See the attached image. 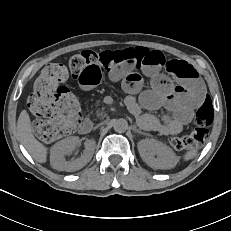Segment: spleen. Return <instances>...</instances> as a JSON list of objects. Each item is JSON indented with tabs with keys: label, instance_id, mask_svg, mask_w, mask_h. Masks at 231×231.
<instances>
[{
	"label": "spleen",
	"instance_id": "3e777b00",
	"mask_svg": "<svg viewBox=\"0 0 231 231\" xmlns=\"http://www.w3.org/2000/svg\"><path fill=\"white\" fill-rule=\"evenodd\" d=\"M198 150L197 148H191L189 151H187L184 156L183 159L185 161L191 160L193 158H195L197 156Z\"/></svg>",
	"mask_w": 231,
	"mask_h": 231
}]
</instances>
